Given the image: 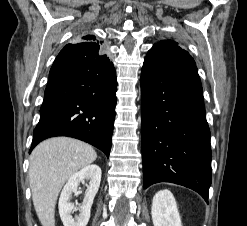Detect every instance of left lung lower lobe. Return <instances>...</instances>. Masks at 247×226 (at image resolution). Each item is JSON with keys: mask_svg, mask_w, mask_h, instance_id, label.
I'll use <instances>...</instances> for the list:
<instances>
[{"mask_svg": "<svg viewBox=\"0 0 247 226\" xmlns=\"http://www.w3.org/2000/svg\"><path fill=\"white\" fill-rule=\"evenodd\" d=\"M144 188L179 184L208 202L210 130L193 58L180 46L154 45L141 73Z\"/></svg>", "mask_w": 247, "mask_h": 226, "instance_id": "left-lung-lower-lobe-1", "label": "left lung lower lobe"}]
</instances>
